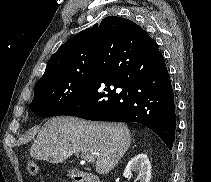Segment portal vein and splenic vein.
Segmentation results:
<instances>
[{
    "mask_svg": "<svg viewBox=\"0 0 211 182\" xmlns=\"http://www.w3.org/2000/svg\"><path fill=\"white\" fill-rule=\"evenodd\" d=\"M83 158H85L86 160H88L89 162H92V163L95 161V155L92 153L85 155Z\"/></svg>",
    "mask_w": 211,
    "mask_h": 182,
    "instance_id": "1",
    "label": "portal vein and splenic vein"
}]
</instances>
